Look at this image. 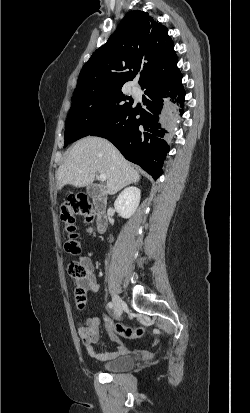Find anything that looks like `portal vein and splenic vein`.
<instances>
[{
  "label": "portal vein and splenic vein",
  "mask_w": 250,
  "mask_h": 413,
  "mask_svg": "<svg viewBox=\"0 0 250 413\" xmlns=\"http://www.w3.org/2000/svg\"><path fill=\"white\" fill-rule=\"evenodd\" d=\"M99 180L102 181V182L106 181V175L105 174H100L99 175Z\"/></svg>",
  "instance_id": "1"
}]
</instances>
